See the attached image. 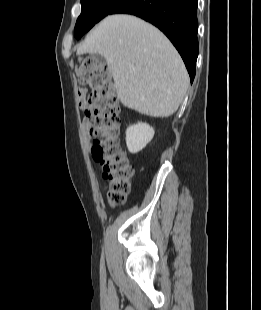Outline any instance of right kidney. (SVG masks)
I'll list each match as a JSON object with an SVG mask.
<instances>
[{
  "instance_id": "right-kidney-1",
  "label": "right kidney",
  "mask_w": 261,
  "mask_h": 310,
  "mask_svg": "<svg viewBox=\"0 0 261 310\" xmlns=\"http://www.w3.org/2000/svg\"><path fill=\"white\" fill-rule=\"evenodd\" d=\"M154 129L146 123H137L126 130V144L130 153H138L153 139Z\"/></svg>"
}]
</instances>
